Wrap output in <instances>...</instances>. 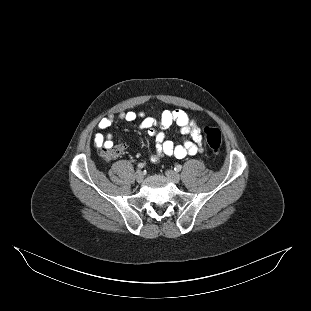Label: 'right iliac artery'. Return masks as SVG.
I'll use <instances>...</instances> for the list:
<instances>
[{"label":"right iliac artery","mask_w":311,"mask_h":311,"mask_svg":"<svg viewBox=\"0 0 311 311\" xmlns=\"http://www.w3.org/2000/svg\"><path fill=\"white\" fill-rule=\"evenodd\" d=\"M137 166L139 169H142L144 167V163H139Z\"/></svg>","instance_id":"right-iliac-artery-1"}]
</instances>
